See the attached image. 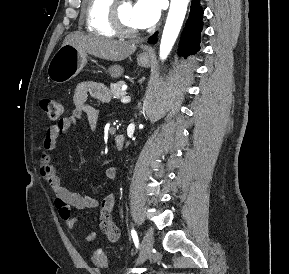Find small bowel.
I'll return each mask as SVG.
<instances>
[{
	"label": "small bowel",
	"mask_w": 289,
	"mask_h": 274,
	"mask_svg": "<svg viewBox=\"0 0 289 274\" xmlns=\"http://www.w3.org/2000/svg\"><path fill=\"white\" fill-rule=\"evenodd\" d=\"M89 98L106 101L109 100L110 95L107 87L98 82L83 81L77 85L73 98L74 108L72 114L60 119L47 129L42 144L40 174L53 190L55 207L68 229H73L78 221L77 216L72 213V209L86 210L99 208L100 230L110 242H116L119 239L120 231L113 217L115 195L111 193L99 201L90 195L73 192L62 186L54 165L57 140L71 128L73 123L86 118L90 129L94 130L96 128L99 113L98 110L88 102ZM105 176L108 181H114L117 176V169L113 166L108 167L105 170ZM96 237V232L91 231L84 237V241L90 243L93 242Z\"/></svg>",
	"instance_id": "small-bowel-1"
}]
</instances>
